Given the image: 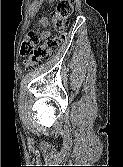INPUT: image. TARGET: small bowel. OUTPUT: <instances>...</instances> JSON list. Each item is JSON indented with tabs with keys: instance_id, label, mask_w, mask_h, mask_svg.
<instances>
[{
	"instance_id": "c3829d8e",
	"label": "small bowel",
	"mask_w": 123,
	"mask_h": 167,
	"mask_svg": "<svg viewBox=\"0 0 123 167\" xmlns=\"http://www.w3.org/2000/svg\"><path fill=\"white\" fill-rule=\"evenodd\" d=\"M41 24H42L44 27H46V26H47V19H45V18L41 19ZM47 35H48V33H47V32H44V33L42 34V37H46Z\"/></svg>"
}]
</instances>
